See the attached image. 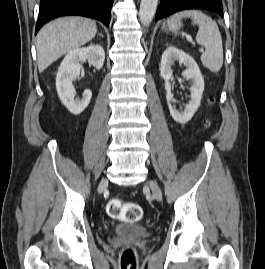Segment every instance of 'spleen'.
I'll return each instance as SVG.
<instances>
[{
	"mask_svg": "<svg viewBox=\"0 0 265 269\" xmlns=\"http://www.w3.org/2000/svg\"><path fill=\"white\" fill-rule=\"evenodd\" d=\"M183 18L192 19V23L199 27L196 41L205 47V52L201 55L202 64L213 73L219 72L223 65V46L217 23L199 10H184L167 20L169 29L176 32L182 26Z\"/></svg>",
	"mask_w": 265,
	"mask_h": 269,
	"instance_id": "1",
	"label": "spleen"
}]
</instances>
